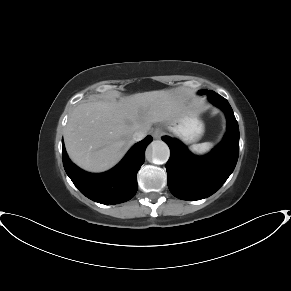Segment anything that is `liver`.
Wrapping results in <instances>:
<instances>
[{"label": "liver", "instance_id": "liver-1", "mask_svg": "<svg viewBox=\"0 0 291 291\" xmlns=\"http://www.w3.org/2000/svg\"><path fill=\"white\" fill-rule=\"evenodd\" d=\"M182 108L180 97L167 90L79 104L64 131L67 153L87 171H106L134 144L136 131L147 133L153 124L171 121Z\"/></svg>", "mask_w": 291, "mask_h": 291}]
</instances>
